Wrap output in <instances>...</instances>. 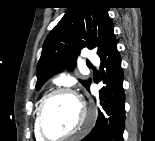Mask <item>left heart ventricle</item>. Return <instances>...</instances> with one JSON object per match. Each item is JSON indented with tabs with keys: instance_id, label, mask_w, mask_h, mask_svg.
I'll return each instance as SVG.
<instances>
[{
	"instance_id": "1",
	"label": "left heart ventricle",
	"mask_w": 155,
	"mask_h": 141,
	"mask_svg": "<svg viewBox=\"0 0 155 141\" xmlns=\"http://www.w3.org/2000/svg\"><path fill=\"white\" fill-rule=\"evenodd\" d=\"M83 119L82 108L69 95H55L45 106L42 123L50 137H59L73 131Z\"/></svg>"
}]
</instances>
